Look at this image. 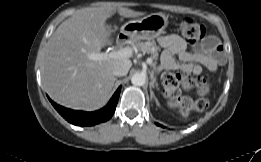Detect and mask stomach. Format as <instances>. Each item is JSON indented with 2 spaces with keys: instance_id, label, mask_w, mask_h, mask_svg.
Segmentation results:
<instances>
[{
  "instance_id": "0dacf381",
  "label": "stomach",
  "mask_w": 261,
  "mask_h": 162,
  "mask_svg": "<svg viewBox=\"0 0 261 162\" xmlns=\"http://www.w3.org/2000/svg\"><path fill=\"white\" fill-rule=\"evenodd\" d=\"M168 26L164 14L153 13L140 19L128 21L121 28V33L131 40H151L160 36Z\"/></svg>"
}]
</instances>
